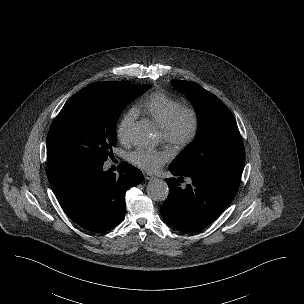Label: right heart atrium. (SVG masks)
Returning <instances> with one entry per match:
<instances>
[{
    "label": "right heart atrium",
    "mask_w": 304,
    "mask_h": 304,
    "mask_svg": "<svg viewBox=\"0 0 304 304\" xmlns=\"http://www.w3.org/2000/svg\"><path fill=\"white\" fill-rule=\"evenodd\" d=\"M136 118L137 114L134 110H130L123 115L117 127V137L119 140L123 142H127L129 140L130 131Z\"/></svg>",
    "instance_id": "1"
}]
</instances>
